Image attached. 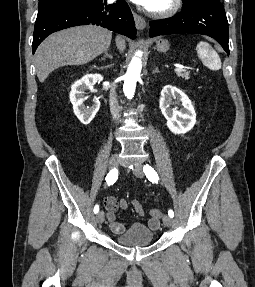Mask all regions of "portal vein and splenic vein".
Returning <instances> with one entry per match:
<instances>
[{"label":"portal vein and splenic vein","instance_id":"18ae733b","mask_svg":"<svg viewBox=\"0 0 255 287\" xmlns=\"http://www.w3.org/2000/svg\"><path fill=\"white\" fill-rule=\"evenodd\" d=\"M175 72H183V66H176Z\"/></svg>","mask_w":255,"mask_h":287}]
</instances>
